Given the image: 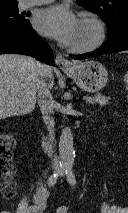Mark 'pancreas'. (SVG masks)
Wrapping results in <instances>:
<instances>
[{
    "label": "pancreas",
    "instance_id": "1",
    "mask_svg": "<svg viewBox=\"0 0 128 213\" xmlns=\"http://www.w3.org/2000/svg\"><path fill=\"white\" fill-rule=\"evenodd\" d=\"M108 102L109 98L102 95H97L89 100V103H98L100 106H105Z\"/></svg>",
    "mask_w": 128,
    "mask_h": 213
}]
</instances>
